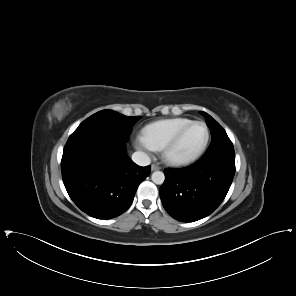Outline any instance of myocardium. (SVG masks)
Masks as SVG:
<instances>
[{"label": "myocardium", "mask_w": 296, "mask_h": 296, "mask_svg": "<svg viewBox=\"0 0 296 296\" xmlns=\"http://www.w3.org/2000/svg\"><path fill=\"white\" fill-rule=\"evenodd\" d=\"M193 125H201L203 126V128L205 129V138L204 141L201 145V147L198 149L197 152H195L194 154L190 155V156H186V157H173L170 155V151L171 149L176 145V143L179 141L180 137L182 136V134L191 126ZM209 138H210V133H209V129L207 127V125L202 122V121H190L189 123H187L186 125H184L183 127H181L167 142L166 144L163 146L162 148V157L163 159L171 164V165H176V166H180V165H186V164H190L194 161H196L198 158H200L202 156V154L205 152L208 142H209Z\"/></svg>", "instance_id": "1"}]
</instances>
